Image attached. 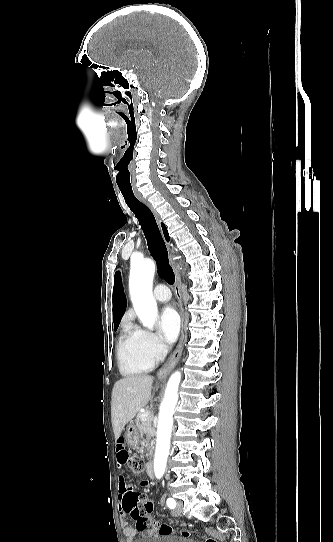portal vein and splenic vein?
Wrapping results in <instances>:
<instances>
[{
	"mask_svg": "<svg viewBox=\"0 0 333 542\" xmlns=\"http://www.w3.org/2000/svg\"><path fill=\"white\" fill-rule=\"evenodd\" d=\"M142 420H146V418H150V412H144L141 416Z\"/></svg>",
	"mask_w": 333,
	"mask_h": 542,
	"instance_id": "obj_1",
	"label": "portal vein and splenic vein"
}]
</instances>
